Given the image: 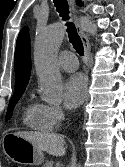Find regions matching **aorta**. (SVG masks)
Here are the masks:
<instances>
[{
    "mask_svg": "<svg viewBox=\"0 0 125 167\" xmlns=\"http://www.w3.org/2000/svg\"><path fill=\"white\" fill-rule=\"evenodd\" d=\"M82 28L95 35V25L88 17L80 18ZM65 35L64 26L54 23L40 30L35 41V66L41 88V98L49 103H59L62 99V78L56 56ZM77 167H81L80 164Z\"/></svg>",
    "mask_w": 125,
    "mask_h": 167,
    "instance_id": "aorta-1",
    "label": "aorta"
}]
</instances>
